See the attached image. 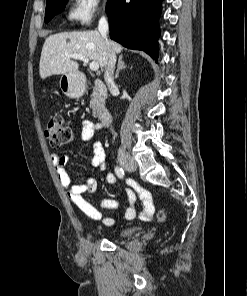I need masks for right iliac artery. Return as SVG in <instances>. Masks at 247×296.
Returning a JSON list of instances; mask_svg holds the SVG:
<instances>
[{"instance_id":"82829eb1","label":"right iliac artery","mask_w":247,"mask_h":296,"mask_svg":"<svg viewBox=\"0 0 247 296\" xmlns=\"http://www.w3.org/2000/svg\"><path fill=\"white\" fill-rule=\"evenodd\" d=\"M115 173L119 178L124 177V170L122 168H120V167L115 168Z\"/></svg>"}]
</instances>
